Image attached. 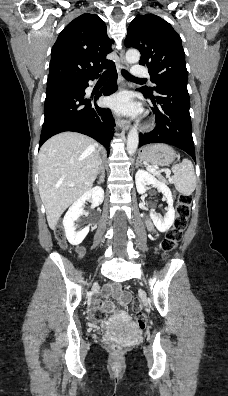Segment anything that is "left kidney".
<instances>
[{
    "instance_id": "obj_1",
    "label": "left kidney",
    "mask_w": 228,
    "mask_h": 396,
    "mask_svg": "<svg viewBox=\"0 0 228 396\" xmlns=\"http://www.w3.org/2000/svg\"><path fill=\"white\" fill-rule=\"evenodd\" d=\"M135 182L137 192L139 194H144L148 189L147 186L152 185L158 188L167 198L168 208L166 209L167 212L164 215V218H160V216L154 214L152 211L150 212V217L156 228L160 232L167 231L173 225L175 220V210L173 208V197L171 190L165 183L158 181L152 174L142 169L136 172Z\"/></svg>"
}]
</instances>
